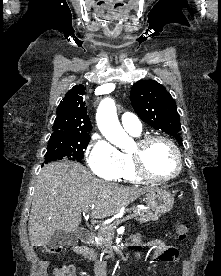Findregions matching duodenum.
<instances>
[{"mask_svg":"<svg viewBox=\"0 0 221 276\" xmlns=\"http://www.w3.org/2000/svg\"><path fill=\"white\" fill-rule=\"evenodd\" d=\"M78 236H79L80 241L83 244H89L92 240L91 232L88 229H85V228H81L78 231ZM83 246L86 247L85 245H83Z\"/></svg>","mask_w":221,"mask_h":276,"instance_id":"obj_1","label":"duodenum"}]
</instances>
